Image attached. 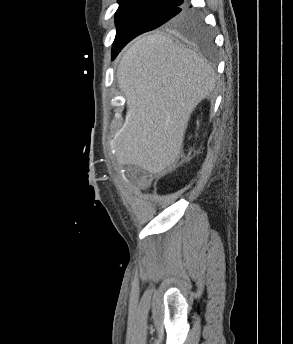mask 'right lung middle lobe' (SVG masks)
<instances>
[{
	"instance_id": "dd1d6c3e",
	"label": "right lung middle lobe",
	"mask_w": 293,
	"mask_h": 344,
	"mask_svg": "<svg viewBox=\"0 0 293 344\" xmlns=\"http://www.w3.org/2000/svg\"><path fill=\"white\" fill-rule=\"evenodd\" d=\"M178 6L157 2L120 4L116 12L117 34L112 56L115 57L136 36L161 25H167L184 39L201 47H209L211 36L200 16Z\"/></svg>"
}]
</instances>
